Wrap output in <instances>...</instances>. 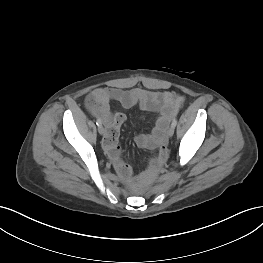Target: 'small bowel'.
Masks as SVG:
<instances>
[{
  "instance_id": "c3829d8e",
  "label": "small bowel",
  "mask_w": 263,
  "mask_h": 263,
  "mask_svg": "<svg viewBox=\"0 0 263 263\" xmlns=\"http://www.w3.org/2000/svg\"><path fill=\"white\" fill-rule=\"evenodd\" d=\"M90 97L102 104L100 109H93V112L106 126L103 148L125 182L129 184L134 182L132 169L123 160L121 148L118 145L120 128L126 120V115L121 111L112 113L109 107L110 101L117 102L125 110L137 105L142 110L157 113L158 117L152 134L137 136L136 143L145 149L159 148L158 156L150 171H154L165 160V131L168 122L177 114L184 101L182 96L172 92H158L142 88L124 90L105 87L95 89Z\"/></svg>"
}]
</instances>
